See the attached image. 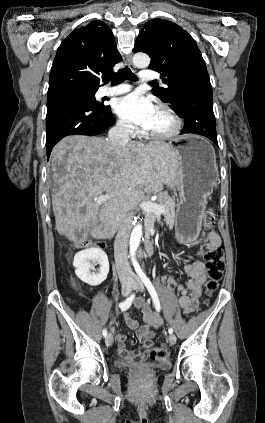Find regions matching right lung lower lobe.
Segmentation results:
<instances>
[{"instance_id": "right-lung-lower-lobe-1", "label": "right lung lower lobe", "mask_w": 265, "mask_h": 423, "mask_svg": "<svg viewBox=\"0 0 265 423\" xmlns=\"http://www.w3.org/2000/svg\"><path fill=\"white\" fill-rule=\"evenodd\" d=\"M114 123L110 106L96 107L83 93L64 91L48 95L47 158L49 159L54 145L65 136L98 135Z\"/></svg>"}]
</instances>
